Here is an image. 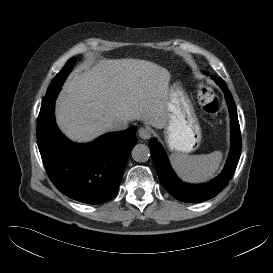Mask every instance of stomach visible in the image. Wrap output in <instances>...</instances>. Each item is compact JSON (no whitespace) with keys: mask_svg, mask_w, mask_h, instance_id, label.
Returning a JSON list of instances; mask_svg holds the SVG:
<instances>
[{"mask_svg":"<svg viewBox=\"0 0 273 273\" xmlns=\"http://www.w3.org/2000/svg\"><path fill=\"white\" fill-rule=\"evenodd\" d=\"M166 142L171 151L188 153L201 142V128L193 105L179 82L168 87Z\"/></svg>","mask_w":273,"mask_h":273,"instance_id":"0dacf381","label":"stomach"}]
</instances>
